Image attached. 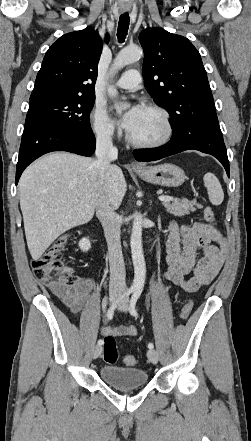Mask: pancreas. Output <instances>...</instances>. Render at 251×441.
<instances>
[{
    "mask_svg": "<svg viewBox=\"0 0 251 441\" xmlns=\"http://www.w3.org/2000/svg\"><path fill=\"white\" fill-rule=\"evenodd\" d=\"M163 204L167 212L173 214L174 216H179V217L189 214L190 212H194L196 210L195 206H197V208H202V206L200 204H197L195 200L189 201L186 199H182V200L176 199L173 200L172 202H166Z\"/></svg>",
    "mask_w": 251,
    "mask_h": 441,
    "instance_id": "pancreas-1",
    "label": "pancreas"
}]
</instances>
